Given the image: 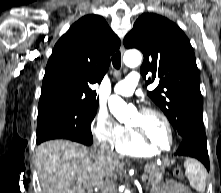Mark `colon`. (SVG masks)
Segmentation results:
<instances>
[{
    "instance_id": "obj_1",
    "label": "colon",
    "mask_w": 221,
    "mask_h": 193,
    "mask_svg": "<svg viewBox=\"0 0 221 193\" xmlns=\"http://www.w3.org/2000/svg\"><path fill=\"white\" fill-rule=\"evenodd\" d=\"M174 174L177 178H179V179L182 178V171L179 168L175 169ZM189 193H192V192L189 190Z\"/></svg>"
}]
</instances>
